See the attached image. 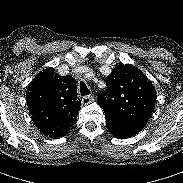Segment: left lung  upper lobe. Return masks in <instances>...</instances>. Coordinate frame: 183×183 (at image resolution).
Masks as SVG:
<instances>
[{
  "instance_id": "1",
  "label": "left lung upper lobe",
  "mask_w": 183,
  "mask_h": 183,
  "mask_svg": "<svg viewBox=\"0 0 183 183\" xmlns=\"http://www.w3.org/2000/svg\"><path fill=\"white\" fill-rule=\"evenodd\" d=\"M106 84L107 91L97 99L105 118L143 128L157 98L151 81L137 67L120 64L106 77Z\"/></svg>"
}]
</instances>
